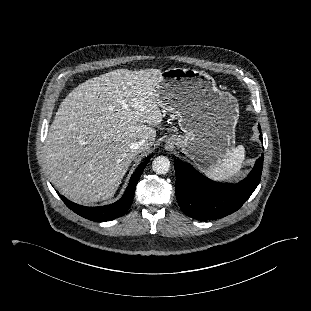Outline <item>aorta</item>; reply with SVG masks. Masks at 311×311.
I'll use <instances>...</instances> for the list:
<instances>
[{"label": "aorta", "instance_id": "aorta-1", "mask_svg": "<svg viewBox=\"0 0 311 311\" xmlns=\"http://www.w3.org/2000/svg\"><path fill=\"white\" fill-rule=\"evenodd\" d=\"M170 161L165 156H158L152 162L153 171L157 174H166L170 170Z\"/></svg>", "mask_w": 311, "mask_h": 311}]
</instances>
